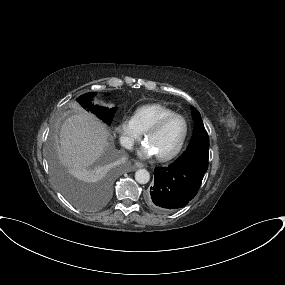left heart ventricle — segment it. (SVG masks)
<instances>
[{"mask_svg": "<svg viewBox=\"0 0 285 285\" xmlns=\"http://www.w3.org/2000/svg\"><path fill=\"white\" fill-rule=\"evenodd\" d=\"M184 133L182 119L175 118L169 121L160 131L150 135L146 142L152 147L156 155H163L174 150Z\"/></svg>", "mask_w": 285, "mask_h": 285, "instance_id": "b2bd125f", "label": "left heart ventricle"}]
</instances>
